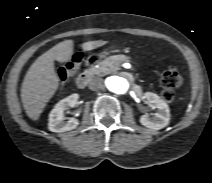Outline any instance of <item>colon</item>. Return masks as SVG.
<instances>
[{
  "instance_id": "colon-1",
  "label": "colon",
  "mask_w": 212,
  "mask_h": 183,
  "mask_svg": "<svg viewBox=\"0 0 212 183\" xmlns=\"http://www.w3.org/2000/svg\"><path fill=\"white\" fill-rule=\"evenodd\" d=\"M81 55L76 54L68 63L60 66L58 76L61 84L66 83L77 72L81 63ZM183 84L182 75L173 67L167 68L161 75L160 85L162 87V97L165 101L174 99V89L181 87Z\"/></svg>"
}]
</instances>
